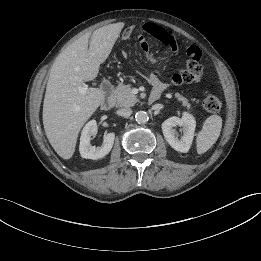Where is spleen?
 I'll list each match as a JSON object with an SVG mask.
<instances>
[{
	"label": "spleen",
	"instance_id": "3e777b00",
	"mask_svg": "<svg viewBox=\"0 0 261 261\" xmlns=\"http://www.w3.org/2000/svg\"><path fill=\"white\" fill-rule=\"evenodd\" d=\"M222 128V118L218 115L208 117L197 134L196 147L197 153L203 154L207 152L219 138Z\"/></svg>",
	"mask_w": 261,
	"mask_h": 261
}]
</instances>
